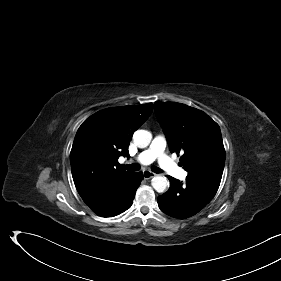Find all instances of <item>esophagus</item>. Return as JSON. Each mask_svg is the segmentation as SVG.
<instances>
[{
  "instance_id": "34e87169",
  "label": "esophagus",
  "mask_w": 281,
  "mask_h": 281,
  "mask_svg": "<svg viewBox=\"0 0 281 281\" xmlns=\"http://www.w3.org/2000/svg\"><path fill=\"white\" fill-rule=\"evenodd\" d=\"M155 176H156V174L153 173V172H151V171H149V170H144V171H143V177H144V179H146V180L151 179V178H153V177H155Z\"/></svg>"
}]
</instances>
